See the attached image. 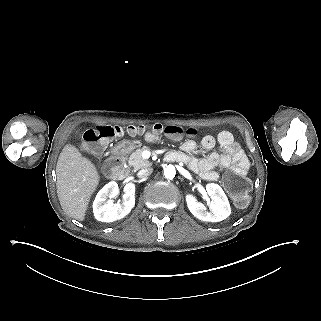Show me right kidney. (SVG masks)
<instances>
[{"label":"right kidney","mask_w":321,"mask_h":321,"mask_svg":"<svg viewBox=\"0 0 321 321\" xmlns=\"http://www.w3.org/2000/svg\"><path fill=\"white\" fill-rule=\"evenodd\" d=\"M119 194L118 184L111 181L96 195L93 202V213L98 221L113 222L128 215L135 205V185L127 183L124 187L123 202L114 204L107 198H115Z\"/></svg>","instance_id":"ca27d5eb"}]
</instances>
